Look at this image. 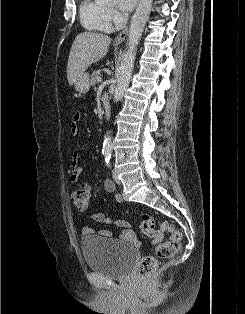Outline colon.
<instances>
[{
  "mask_svg": "<svg viewBox=\"0 0 245 314\" xmlns=\"http://www.w3.org/2000/svg\"><path fill=\"white\" fill-rule=\"evenodd\" d=\"M89 197L90 195L86 190L79 189L72 193L71 201L77 208L85 209L88 206ZM141 230L156 244V256H144L138 264L139 278L145 280L156 268V257L168 259L177 253L181 244L182 234L174 229L168 221H156L148 213L143 214ZM166 232L170 233V237L167 241L162 242L163 234Z\"/></svg>",
  "mask_w": 245,
  "mask_h": 314,
  "instance_id": "obj_1",
  "label": "colon"
}]
</instances>
